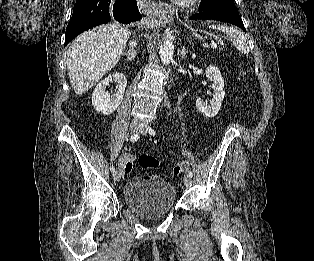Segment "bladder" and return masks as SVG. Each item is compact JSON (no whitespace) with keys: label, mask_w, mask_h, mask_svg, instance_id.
<instances>
[{"label":"bladder","mask_w":314,"mask_h":261,"mask_svg":"<svg viewBox=\"0 0 314 261\" xmlns=\"http://www.w3.org/2000/svg\"><path fill=\"white\" fill-rule=\"evenodd\" d=\"M124 204L146 219H157L176 203V188L163 181H130L123 190Z\"/></svg>","instance_id":"1"}]
</instances>
